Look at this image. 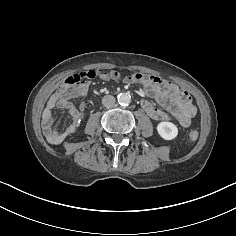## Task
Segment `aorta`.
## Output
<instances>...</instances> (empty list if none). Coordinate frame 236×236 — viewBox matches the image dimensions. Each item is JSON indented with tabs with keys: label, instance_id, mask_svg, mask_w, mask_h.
<instances>
[{
	"label": "aorta",
	"instance_id": "obj_1",
	"mask_svg": "<svg viewBox=\"0 0 236 236\" xmlns=\"http://www.w3.org/2000/svg\"><path fill=\"white\" fill-rule=\"evenodd\" d=\"M117 101L122 106H127L131 103V96L129 93H120L117 96Z\"/></svg>",
	"mask_w": 236,
	"mask_h": 236
}]
</instances>
